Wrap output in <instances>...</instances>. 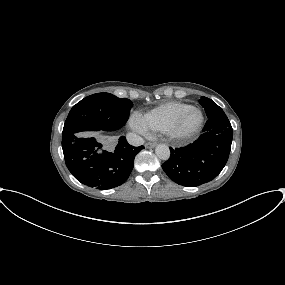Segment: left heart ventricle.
I'll return each mask as SVG.
<instances>
[{"mask_svg":"<svg viewBox=\"0 0 285 285\" xmlns=\"http://www.w3.org/2000/svg\"><path fill=\"white\" fill-rule=\"evenodd\" d=\"M199 122V114L196 111H192L188 114L185 123L183 125L184 130L193 129Z\"/></svg>","mask_w":285,"mask_h":285,"instance_id":"b2bd125f","label":"left heart ventricle"}]
</instances>
